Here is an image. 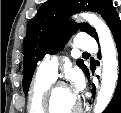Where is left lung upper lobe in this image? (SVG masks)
Here are the masks:
<instances>
[{
  "label": "left lung upper lobe",
  "mask_w": 121,
  "mask_h": 113,
  "mask_svg": "<svg viewBox=\"0 0 121 113\" xmlns=\"http://www.w3.org/2000/svg\"><path fill=\"white\" fill-rule=\"evenodd\" d=\"M93 11L101 14L111 28L118 14L112 0H48L41 5L35 17L27 25L24 38L23 89L27 94L37 62L45 54H54L62 49L78 29L98 40L95 29L87 23H73L67 20L73 13ZM77 65L89 76L82 60Z\"/></svg>",
  "instance_id": "left-lung-upper-lobe-1"
}]
</instances>
